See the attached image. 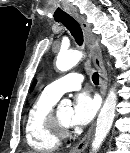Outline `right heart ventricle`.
I'll return each mask as SVG.
<instances>
[{
	"label": "right heart ventricle",
	"mask_w": 130,
	"mask_h": 153,
	"mask_svg": "<svg viewBox=\"0 0 130 153\" xmlns=\"http://www.w3.org/2000/svg\"><path fill=\"white\" fill-rule=\"evenodd\" d=\"M58 99L45 90L31 106L25 121L24 133L28 146L38 152H52L60 144V137L49 127L48 115Z\"/></svg>",
	"instance_id": "1"
}]
</instances>
